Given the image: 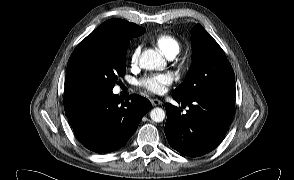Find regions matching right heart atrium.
<instances>
[{
  "mask_svg": "<svg viewBox=\"0 0 294 180\" xmlns=\"http://www.w3.org/2000/svg\"><path fill=\"white\" fill-rule=\"evenodd\" d=\"M138 54L139 49L138 47L134 48L130 53V62L132 65H135L138 62Z\"/></svg>",
  "mask_w": 294,
  "mask_h": 180,
  "instance_id": "right-heart-atrium-1",
  "label": "right heart atrium"
}]
</instances>
